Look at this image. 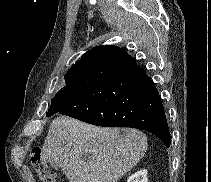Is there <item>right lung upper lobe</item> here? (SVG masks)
<instances>
[{
  "label": "right lung upper lobe",
  "instance_id": "1",
  "mask_svg": "<svg viewBox=\"0 0 211 182\" xmlns=\"http://www.w3.org/2000/svg\"><path fill=\"white\" fill-rule=\"evenodd\" d=\"M90 52H91L90 50H89L88 52H86V53L82 56L81 60L77 61L76 64L73 65L72 67L82 66V67L84 68V67H85V64H86V62H87V60H88V57H89V55H90Z\"/></svg>",
  "mask_w": 211,
  "mask_h": 182
}]
</instances>
